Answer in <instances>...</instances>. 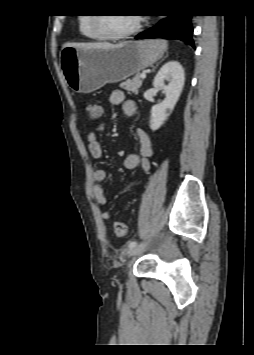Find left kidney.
Returning a JSON list of instances; mask_svg holds the SVG:
<instances>
[{
	"mask_svg": "<svg viewBox=\"0 0 254 355\" xmlns=\"http://www.w3.org/2000/svg\"><path fill=\"white\" fill-rule=\"evenodd\" d=\"M168 82L166 85L165 82ZM185 73L177 61L165 63L156 74L153 86L165 93L162 103L154 105L151 109L150 128L158 130L173 111L184 87Z\"/></svg>",
	"mask_w": 254,
	"mask_h": 355,
	"instance_id": "left-kidney-1",
	"label": "left kidney"
}]
</instances>
